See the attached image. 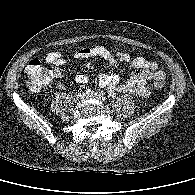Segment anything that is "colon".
Masks as SVG:
<instances>
[{
  "instance_id": "5ec220e1",
  "label": "colon",
  "mask_w": 195,
  "mask_h": 195,
  "mask_svg": "<svg viewBox=\"0 0 195 195\" xmlns=\"http://www.w3.org/2000/svg\"><path fill=\"white\" fill-rule=\"evenodd\" d=\"M57 73V69L44 66L39 60H32L26 67L27 85L30 90L37 91ZM165 82L166 75H162L155 79L154 86L156 88H162Z\"/></svg>"
}]
</instances>
